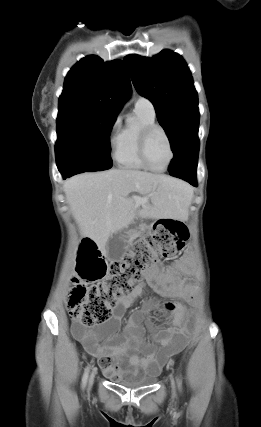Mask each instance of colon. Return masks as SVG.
I'll return each mask as SVG.
<instances>
[{"instance_id": "5ec220e1", "label": "colon", "mask_w": 261, "mask_h": 427, "mask_svg": "<svg viewBox=\"0 0 261 427\" xmlns=\"http://www.w3.org/2000/svg\"><path fill=\"white\" fill-rule=\"evenodd\" d=\"M187 239L183 223L160 220L152 232L132 242L122 261L112 263L106 261L93 240L84 239L80 245L78 277L73 280L67 303L70 317L88 327L108 321L117 299L131 293L158 261L180 253ZM172 307V304L167 306Z\"/></svg>"}]
</instances>
